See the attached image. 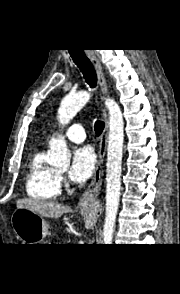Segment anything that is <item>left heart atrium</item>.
<instances>
[{"label": "left heart atrium", "mask_w": 180, "mask_h": 294, "mask_svg": "<svg viewBox=\"0 0 180 294\" xmlns=\"http://www.w3.org/2000/svg\"><path fill=\"white\" fill-rule=\"evenodd\" d=\"M96 166V156L90 146L78 148L72 158L69 178L73 182H84L91 177Z\"/></svg>", "instance_id": "obj_1"}]
</instances>
